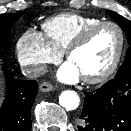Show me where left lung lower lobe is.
I'll return each mask as SVG.
<instances>
[{"instance_id": "0a47b994", "label": "left lung lower lobe", "mask_w": 131, "mask_h": 131, "mask_svg": "<svg viewBox=\"0 0 131 131\" xmlns=\"http://www.w3.org/2000/svg\"><path fill=\"white\" fill-rule=\"evenodd\" d=\"M76 124L78 131H131V74L86 92Z\"/></svg>"}]
</instances>
